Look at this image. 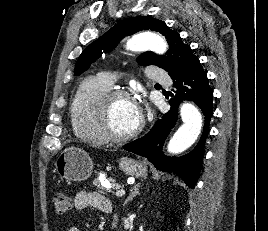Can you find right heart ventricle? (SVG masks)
Wrapping results in <instances>:
<instances>
[{
  "mask_svg": "<svg viewBox=\"0 0 268 231\" xmlns=\"http://www.w3.org/2000/svg\"><path fill=\"white\" fill-rule=\"evenodd\" d=\"M111 85L101 78L89 77L79 86L69 105L70 121L76 136L96 144L108 139L99 131L96 121L97 102Z\"/></svg>",
  "mask_w": 268,
  "mask_h": 231,
  "instance_id": "e07e8e85",
  "label": "right heart ventricle"
}]
</instances>
